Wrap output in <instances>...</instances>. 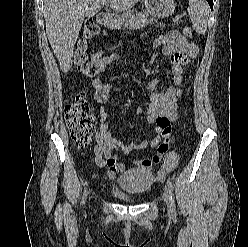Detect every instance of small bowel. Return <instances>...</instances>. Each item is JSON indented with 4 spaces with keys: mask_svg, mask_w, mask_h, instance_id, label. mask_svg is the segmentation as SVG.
Instances as JSON below:
<instances>
[{
    "mask_svg": "<svg viewBox=\"0 0 248 247\" xmlns=\"http://www.w3.org/2000/svg\"><path fill=\"white\" fill-rule=\"evenodd\" d=\"M155 48L161 49L167 59V68L171 74V82L162 92L157 91L159 79L155 78L147 83V89L151 91L150 102L146 108H138L136 115L145 114L147 122L155 125L153 138L145 139L140 144H125L115 138L109 131L108 114L105 105L111 99L110 85L104 82L102 74L109 66L120 59L119 54L106 55L99 60L98 74L92 81L95 90V100L101 104L99 110L100 125L96 132V146L94 148L96 163L107 168L109 179L115 178L116 172H123L125 167L117 161L114 151L120 150L124 154L147 148H156V153L141 160H135V164L149 169L153 165L161 164L164 173L176 167L178 156L169 150L172 138L171 123L178 117V103L182 96L181 85L184 79L185 67L197 56V46L189 42L178 31H169L159 36L153 42Z\"/></svg>",
    "mask_w": 248,
    "mask_h": 247,
    "instance_id": "small-bowel-1",
    "label": "small bowel"
}]
</instances>
